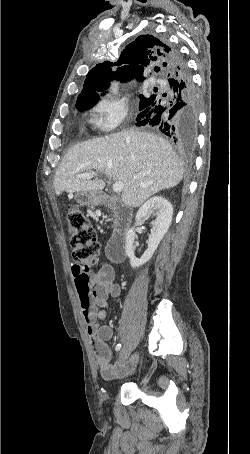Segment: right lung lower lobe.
Instances as JSON below:
<instances>
[{"label": "right lung lower lobe", "instance_id": "98d812e1", "mask_svg": "<svg viewBox=\"0 0 250 454\" xmlns=\"http://www.w3.org/2000/svg\"><path fill=\"white\" fill-rule=\"evenodd\" d=\"M167 46L171 66L164 78L169 90L139 107L136 125L160 130L174 142L193 145L198 127L196 92L181 53L170 44Z\"/></svg>", "mask_w": 250, "mask_h": 454}]
</instances>
